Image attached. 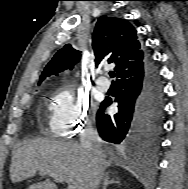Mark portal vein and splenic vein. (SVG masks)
<instances>
[{
    "label": "portal vein and splenic vein",
    "mask_w": 188,
    "mask_h": 189,
    "mask_svg": "<svg viewBox=\"0 0 188 189\" xmlns=\"http://www.w3.org/2000/svg\"><path fill=\"white\" fill-rule=\"evenodd\" d=\"M39 173L40 175H49L58 182H64V179L60 175H58L56 172H53L51 170H40ZM68 189H76V187L72 184H69Z\"/></svg>",
    "instance_id": "18ae733b"
}]
</instances>
